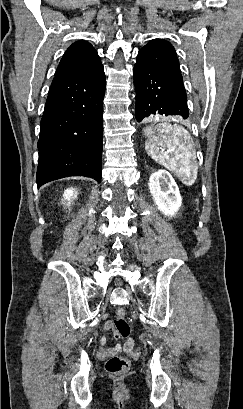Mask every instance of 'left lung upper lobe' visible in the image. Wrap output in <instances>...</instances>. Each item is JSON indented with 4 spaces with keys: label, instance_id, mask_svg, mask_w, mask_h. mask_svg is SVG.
Masks as SVG:
<instances>
[{
    "label": "left lung upper lobe",
    "instance_id": "left-lung-upper-lobe-1",
    "mask_svg": "<svg viewBox=\"0 0 243 409\" xmlns=\"http://www.w3.org/2000/svg\"><path fill=\"white\" fill-rule=\"evenodd\" d=\"M136 63L182 79L176 51L171 43L164 39L149 41L139 50Z\"/></svg>",
    "mask_w": 243,
    "mask_h": 409
}]
</instances>
